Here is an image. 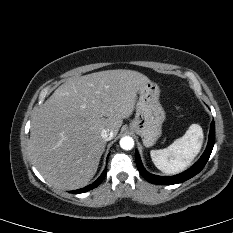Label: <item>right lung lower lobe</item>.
<instances>
[{
	"label": "right lung lower lobe",
	"mask_w": 233,
	"mask_h": 233,
	"mask_svg": "<svg viewBox=\"0 0 233 233\" xmlns=\"http://www.w3.org/2000/svg\"><path fill=\"white\" fill-rule=\"evenodd\" d=\"M106 172H107V168L104 170V172L102 173V175L94 182L92 183L91 185L89 186H86L82 189H79V190H74V191H70L71 193L73 194H78V193H84V192H87L91 189H94L95 187H97L104 179L105 175H106Z\"/></svg>",
	"instance_id": "right-lung-lower-lobe-1"
}]
</instances>
